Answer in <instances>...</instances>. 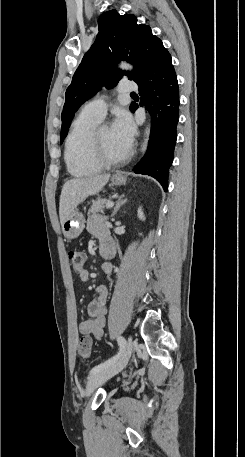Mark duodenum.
I'll list each match as a JSON object with an SVG mask.
<instances>
[{
	"label": "duodenum",
	"instance_id": "1",
	"mask_svg": "<svg viewBox=\"0 0 245 457\" xmlns=\"http://www.w3.org/2000/svg\"><path fill=\"white\" fill-rule=\"evenodd\" d=\"M101 255H102V257H103L104 259H107V258H108V253H107L106 250H102V251H101Z\"/></svg>",
	"mask_w": 245,
	"mask_h": 457
}]
</instances>
